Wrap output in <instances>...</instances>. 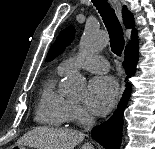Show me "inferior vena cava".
I'll return each instance as SVG.
<instances>
[{
    "label": "inferior vena cava",
    "instance_id": "obj_1",
    "mask_svg": "<svg viewBox=\"0 0 155 149\" xmlns=\"http://www.w3.org/2000/svg\"><path fill=\"white\" fill-rule=\"evenodd\" d=\"M95 120L93 117H90L88 123L86 124L85 131H89L94 124Z\"/></svg>",
    "mask_w": 155,
    "mask_h": 149
}]
</instances>
